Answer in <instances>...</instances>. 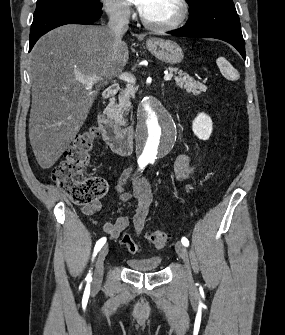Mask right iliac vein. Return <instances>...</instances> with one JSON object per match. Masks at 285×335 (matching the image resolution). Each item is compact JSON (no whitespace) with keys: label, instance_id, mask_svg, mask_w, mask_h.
I'll return each instance as SVG.
<instances>
[{"label":"right iliac vein","instance_id":"right-iliac-vein-1","mask_svg":"<svg viewBox=\"0 0 285 335\" xmlns=\"http://www.w3.org/2000/svg\"><path fill=\"white\" fill-rule=\"evenodd\" d=\"M108 254V248L104 246L99 254L98 258L96 261V266H95V273L93 277V285L94 286H99L102 283L103 280V275H104V260Z\"/></svg>","mask_w":285,"mask_h":335}]
</instances>
